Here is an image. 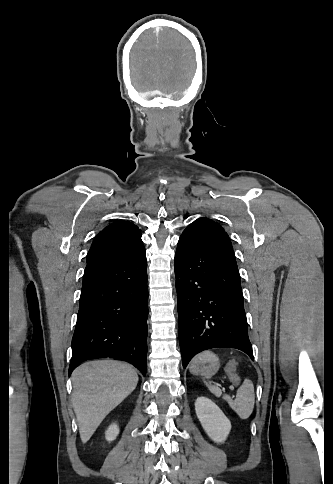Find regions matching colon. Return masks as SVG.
Listing matches in <instances>:
<instances>
[{"instance_id": "1", "label": "colon", "mask_w": 333, "mask_h": 484, "mask_svg": "<svg viewBox=\"0 0 333 484\" xmlns=\"http://www.w3.org/2000/svg\"><path fill=\"white\" fill-rule=\"evenodd\" d=\"M227 375L233 385L237 386L240 384V379L236 372V364L234 362L228 364Z\"/></svg>"}]
</instances>
